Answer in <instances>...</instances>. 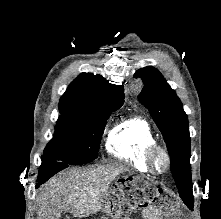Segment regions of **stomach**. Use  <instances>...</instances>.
<instances>
[{
  "instance_id": "stomach-1",
  "label": "stomach",
  "mask_w": 221,
  "mask_h": 219,
  "mask_svg": "<svg viewBox=\"0 0 221 219\" xmlns=\"http://www.w3.org/2000/svg\"><path fill=\"white\" fill-rule=\"evenodd\" d=\"M153 195H159L162 198V195H168V190H153Z\"/></svg>"
}]
</instances>
